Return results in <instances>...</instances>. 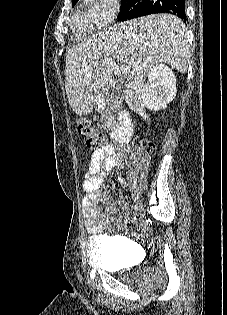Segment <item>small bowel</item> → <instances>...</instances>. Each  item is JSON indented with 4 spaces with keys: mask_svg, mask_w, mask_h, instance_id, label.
<instances>
[{
    "mask_svg": "<svg viewBox=\"0 0 227 315\" xmlns=\"http://www.w3.org/2000/svg\"><path fill=\"white\" fill-rule=\"evenodd\" d=\"M127 148L118 149L112 145H103L94 150L87 162V172L84 175L82 188L85 197L82 201L84 222L89 234L101 232L105 221L111 219L116 213V206L112 198L100 192L103 177L115 166H121L128 158ZM104 205L102 210L100 205ZM122 210L126 216H130L129 206L123 202ZM135 226L140 223L135 221Z\"/></svg>",
    "mask_w": 227,
    "mask_h": 315,
    "instance_id": "c3829d8e",
    "label": "small bowel"
}]
</instances>
